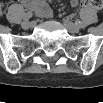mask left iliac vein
<instances>
[{"mask_svg": "<svg viewBox=\"0 0 103 103\" xmlns=\"http://www.w3.org/2000/svg\"><path fill=\"white\" fill-rule=\"evenodd\" d=\"M63 24L65 28L70 32V33H78L79 32V27L76 26L73 22H71L68 19H65L63 21Z\"/></svg>", "mask_w": 103, "mask_h": 103, "instance_id": "obj_1", "label": "left iliac vein"}]
</instances>
